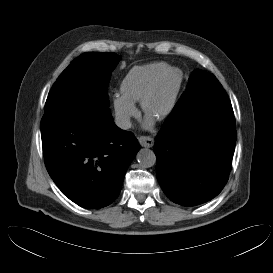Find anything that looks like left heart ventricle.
<instances>
[{
  "label": "left heart ventricle",
  "mask_w": 273,
  "mask_h": 273,
  "mask_svg": "<svg viewBox=\"0 0 273 273\" xmlns=\"http://www.w3.org/2000/svg\"><path fill=\"white\" fill-rule=\"evenodd\" d=\"M177 82V76L169 73L162 78L148 101V111L152 117L160 114L170 103Z\"/></svg>",
  "instance_id": "b2bd125f"
}]
</instances>
